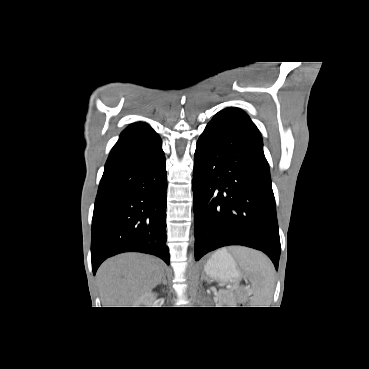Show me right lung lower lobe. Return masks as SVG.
Listing matches in <instances>:
<instances>
[{"mask_svg": "<svg viewBox=\"0 0 369 369\" xmlns=\"http://www.w3.org/2000/svg\"><path fill=\"white\" fill-rule=\"evenodd\" d=\"M166 189L165 156L155 131L120 138L105 164L95 200L94 274L106 258L128 251L153 254L169 264Z\"/></svg>", "mask_w": 369, "mask_h": 369, "instance_id": "98d812e1", "label": "right lung lower lobe"}]
</instances>
